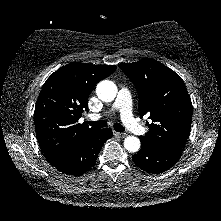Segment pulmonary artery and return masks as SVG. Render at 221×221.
Here are the masks:
<instances>
[{
  "mask_svg": "<svg viewBox=\"0 0 221 221\" xmlns=\"http://www.w3.org/2000/svg\"><path fill=\"white\" fill-rule=\"evenodd\" d=\"M111 110H118L121 115L122 122L125 127L134 134L144 135L146 128L143 127L132 114L131 95L128 89L121 88L118 92L117 98L112 105ZM102 114L90 115L91 120H97Z\"/></svg>",
  "mask_w": 221,
  "mask_h": 221,
  "instance_id": "1",
  "label": "pulmonary artery"
}]
</instances>
